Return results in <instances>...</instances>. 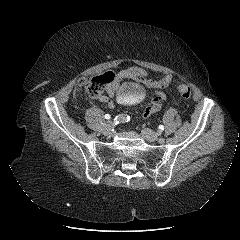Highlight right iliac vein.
<instances>
[{"instance_id":"63e3f726","label":"right iliac vein","mask_w":240,"mask_h":240,"mask_svg":"<svg viewBox=\"0 0 240 240\" xmlns=\"http://www.w3.org/2000/svg\"><path fill=\"white\" fill-rule=\"evenodd\" d=\"M111 131H112V124H110V123L104 125V127L102 128V133H103L104 135H109V134H111Z\"/></svg>"}]
</instances>
